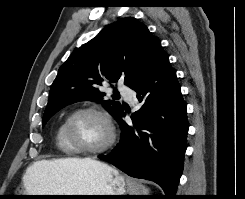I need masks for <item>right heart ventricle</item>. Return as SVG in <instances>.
Wrapping results in <instances>:
<instances>
[{"label": "right heart ventricle", "mask_w": 245, "mask_h": 199, "mask_svg": "<svg viewBox=\"0 0 245 199\" xmlns=\"http://www.w3.org/2000/svg\"><path fill=\"white\" fill-rule=\"evenodd\" d=\"M55 143L58 149L66 156H74L76 154L75 150L68 143L64 135V121L60 123L55 132Z\"/></svg>", "instance_id": "right-heart-ventricle-1"}]
</instances>
